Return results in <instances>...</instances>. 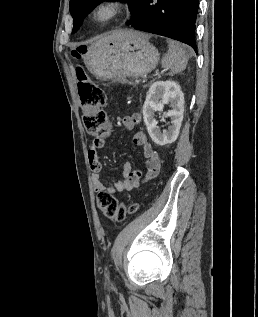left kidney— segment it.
I'll use <instances>...</instances> for the list:
<instances>
[{
    "mask_svg": "<svg viewBox=\"0 0 258 317\" xmlns=\"http://www.w3.org/2000/svg\"><path fill=\"white\" fill-rule=\"evenodd\" d=\"M161 98V100H160ZM171 102L172 110L164 112V116H171V124L166 132H161L154 118L155 110H163L164 104ZM143 118L147 130L156 144H171L176 140L184 112V94L180 84L174 80H156L151 84L146 100L143 104Z\"/></svg>",
    "mask_w": 258,
    "mask_h": 317,
    "instance_id": "left-kidney-1",
    "label": "left kidney"
}]
</instances>
